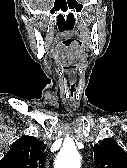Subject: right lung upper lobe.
<instances>
[{
	"label": "right lung upper lobe",
	"mask_w": 127,
	"mask_h": 168,
	"mask_svg": "<svg viewBox=\"0 0 127 168\" xmlns=\"http://www.w3.org/2000/svg\"><path fill=\"white\" fill-rule=\"evenodd\" d=\"M45 144L36 137L17 140L0 160V168H44Z\"/></svg>",
	"instance_id": "1"
}]
</instances>
